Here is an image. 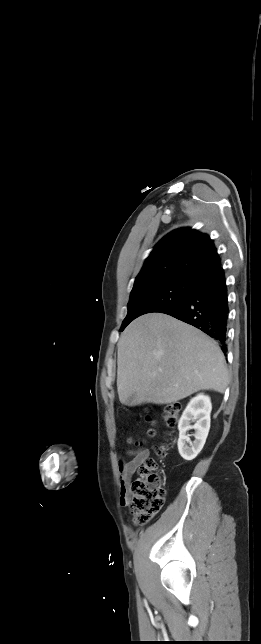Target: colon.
<instances>
[{
	"mask_svg": "<svg viewBox=\"0 0 261 644\" xmlns=\"http://www.w3.org/2000/svg\"><path fill=\"white\" fill-rule=\"evenodd\" d=\"M181 406L178 403L167 404L163 409V418L167 426L172 427L178 421ZM150 437L155 429L148 430ZM167 445L157 448L159 455H164ZM139 477L131 483V513L135 522L143 524L151 520L162 508L165 500L163 477L158 472L155 459L147 458L138 468Z\"/></svg>",
	"mask_w": 261,
	"mask_h": 644,
	"instance_id": "1",
	"label": "colon"
}]
</instances>
